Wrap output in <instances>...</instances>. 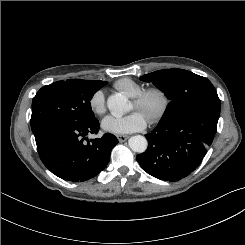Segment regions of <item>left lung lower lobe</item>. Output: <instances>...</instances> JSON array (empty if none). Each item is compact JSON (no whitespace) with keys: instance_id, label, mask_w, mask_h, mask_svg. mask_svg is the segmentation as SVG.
<instances>
[{"instance_id":"left-lung-lower-lobe-1","label":"left lung lower lobe","mask_w":245,"mask_h":245,"mask_svg":"<svg viewBox=\"0 0 245 245\" xmlns=\"http://www.w3.org/2000/svg\"><path fill=\"white\" fill-rule=\"evenodd\" d=\"M219 113L193 111L157 127L145 137L148 149L136 159L142 169L161 180L175 182L201 163L217 130Z\"/></svg>"}]
</instances>
